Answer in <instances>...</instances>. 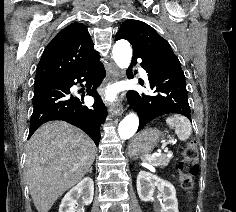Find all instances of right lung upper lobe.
Wrapping results in <instances>:
<instances>
[{
	"instance_id": "1",
	"label": "right lung upper lobe",
	"mask_w": 236,
	"mask_h": 212,
	"mask_svg": "<svg viewBox=\"0 0 236 212\" xmlns=\"http://www.w3.org/2000/svg\"><path fill=\"white\" fill-rule=\"evenodd\" d=\"M87 27L72 23L62 29L45 48L35 80L68 77L99 59Z\"/></svg>"
}]
</instances>
